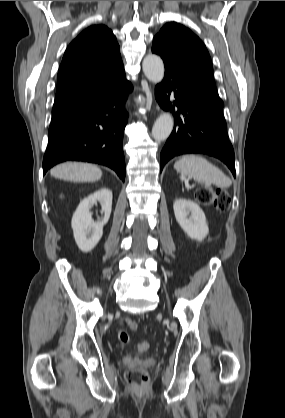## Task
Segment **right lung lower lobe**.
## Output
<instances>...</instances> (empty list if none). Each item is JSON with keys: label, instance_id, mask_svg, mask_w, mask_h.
I'll use <instances>...</instances> for the list:
<instances>
[{"label": "right lung lower lobe", "instance_id": "obj_1", "mask_svg": "<svg viewBox=\"0 0 285 418\" xmlns=\"http://www.w3.org/2000/svg\"><path fill=\"white\" fill-rule=\"evenodd\" d=\"M132 89L124 77L82 102L53 114L43 174L58 163L75 160L110 167L124 181L123 133L128 117L124 104Z\"/></svg>", "mask_w": 285, "mask_h": 418}]
</instances>
